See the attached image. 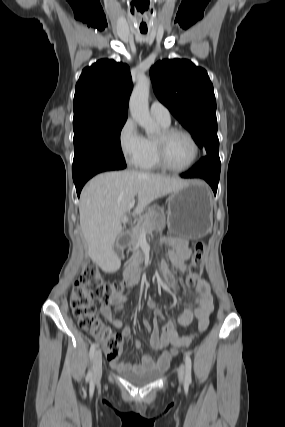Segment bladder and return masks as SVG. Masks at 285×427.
Returning <instances> with one entry per match:
<instances>
[{
  "label": "bladder",
  "instance_id": "31cf9c89",
  "mask_svg": "<svg viewBox=\"0 0 285 427\" xmlns=\"http://www.w3.org/2000/svg\"><path fill=\"white\" fill-rule=\"evenodd\" d=\"M122 374L131 383L138 386H143V385L150 384L156 381L158 378H160V376L162 375V371L157 370V371H153L149 373H141V374H136L130 371H124Z\"/></svg>",
  "mask_w": 285,
  "mask_h": 427
}]
</instances>
